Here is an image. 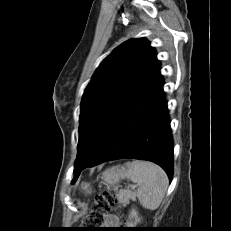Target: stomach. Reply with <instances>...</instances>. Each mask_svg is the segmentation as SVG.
<instances>
[{"label": "stomach", "mask_w": 231, "mask_h": 231, "mask_svg": "<svg viewBox=\"0 0 231 231\" xmlns=\"http://www.w3.org/2000/svg\"><path fill=\"white\" fill-rule=\"evenodd\" d=\"M120 169H115V168H111L109 170H107L106 172H104L103 174V181L105 182L106 185L109 186H114L117 183H119L120 181ZM82 189L87 193L90 194L92 192L90 185L89 184H84Z\"/></svg>", "instance_id": "stomach-1"}]
</instances>
